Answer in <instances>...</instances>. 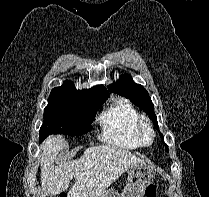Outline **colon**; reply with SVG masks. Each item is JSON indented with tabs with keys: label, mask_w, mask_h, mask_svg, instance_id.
I'll list each match as a JSON object with an SVG mask.
<instances>
[{
	"label": "colon",
	"mask_w": 209,
	"mask_h": 197,
	"mask_svg": "<svg viewBox=\"0 0 209 197\" xmlns=\"http://www.w3.org/2000/svg\"><path fill=\"white\" fill-rule=\"evenodd\" d=\"M156 186L154 184H150L145 189V195L146 197H156ZM60 197H66L65 195H60Z\"/></svg>",
	"instance_id": "colon-1"
}]
</instances>
